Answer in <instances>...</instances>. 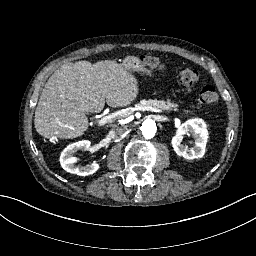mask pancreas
<instances>
[{"instance_id": "obj_1", "label": "pancreas", "mask_w": 256, "mask_h": 256, "mask_svg": "<svg viewBox=\"0 0 256 256\" xmlns=\"http://www.w3.org/2000/svg\"><path fill=\"white\" fill-rule=\"evenodd\" d=\"M146 106L160 108V109L168 110V111L177 110L176 102L169 103V102H164V101H159V100H153V101H147Z\"/></svg>"}]
</instances>
